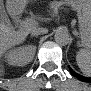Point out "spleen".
Returning <instances> with one entry per match:
<instances>
[{
    "mask_svg": "<svg viewBox=\"0 0 91 91\" xmlns=\"http://www.w3.org/2000/svg\"><path fill=\"white\" fill-rule=\"evenodd\" d=\"M76 61L81 71L89 75L91 72L90 50L88 48L80 49V51L77 53Z\"/></svg>",
    "mask_w": 91,
    "mask_h": 91,
    "instance_id": "1",
    "label": "spleen"
}]
</instances>
